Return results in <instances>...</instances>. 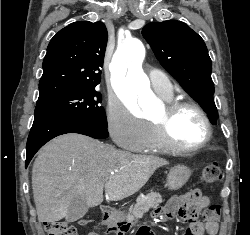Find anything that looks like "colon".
<instances>
[{
    "instance_id": "colon-1",
    "label": "colon",
    "mask_w": 250,
    "mask_h": 235,
    "mask_svg": "<svg viewBox=\"0 0 250 235\" xmlns=\"http://www.w3.org/2000/svg\"><path fill=\"white\" fill-rule=\"evenodd\" d=\"M201 179L204 184H215L221 181L222 173L217 163H210L204 166L201 172ZM221 207L218 204L208 206L203 212V221L207 225H216L219 223ZM88 223L83 220L82 224ZM47 235H77V229L74 225L66 221H49L44 223Z\"/></svg>"
}]
</instances>
